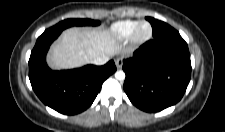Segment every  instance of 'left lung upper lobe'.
<instances>
[{"mask_svg": "<svg viewBox=\"0 0 225 132\" xmlns=\"http://www.w3.org/2000/svg\"><path fill=\"white\" fill-rule=\"evenodd\" d=\"M152 28H153V37L154 38L173 34V33L177 32L174 28H172L171 26H169L168 24H166L164 22H162L161 25H159L158 27L152 25Z\"/></svg>", "mask_w": 225, "mask_h": 132, "instance_id": "obj_1", "label": "left lung upper lobe"}]
</instances>
